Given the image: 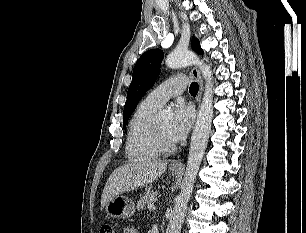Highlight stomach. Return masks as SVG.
I'll return each mask as SVG.
<instances>
[{"mask_svg":"<svg viewBox=\"0 0 306 233\" xmlns=\"http://www.w3.org/2000/svg\"><path fill=\"white\" fill-rule=\"evenodd\" d=\"M169 172L176 175L180 171L170 170ZM105 210L113 218H129L135 213V203L127 196L118 195L106 204Z\"/></svg>","mask_w":306,"mask_h":233,"instance_id":"0dacf381","label":"stomach"}]
</instances>
